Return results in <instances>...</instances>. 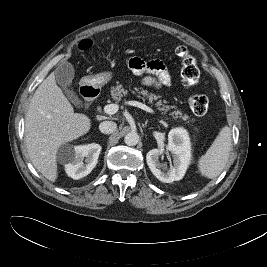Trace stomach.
Listing matches in <instances>:
<instances>
[{
	"mask_svg": "<svg viewBox=\"0 0 267 267\" xmlns=\"http://www.w3.org/2000/svg\"><path fill=\"white\" fill-rule=\"evenodd\" d=\"M113 77L112 72L104 71L85 78L86 84L94 88H100L107 84Z\"/></svg>",
	"mask_w": 267,
	"mask_h": 267,
	"instance_id": "0dacf381",
	"label": "stomach"
}]
</instances>
